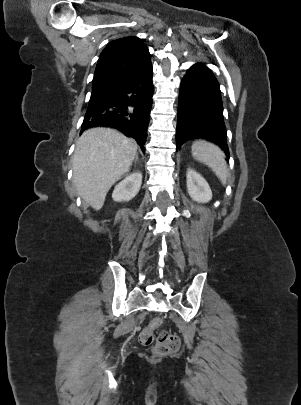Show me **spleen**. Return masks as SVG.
I'll list each match as a JSON object with an SVG mask.
<instances>
[{
    "mask_svg": "<svg viewBox=\"0 0 301 405\" xmlns=\"http://www.w3.org/2000/svg\"><path fill=\"white\" fill-rule=\"evenodd\" d=\"M192 155L196 160L210 167L222 184H226L227 164L223 152L217 146L204 141L194 142Z\"/></svg>",
    "mask_w": 301,
    "mask_h": 405,
    "instance_id": "3e777b00",
    "label": "spleen"
}]
</instances>
